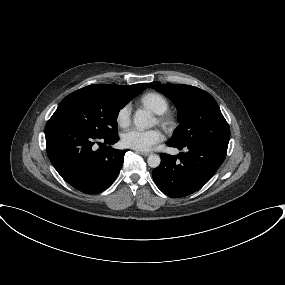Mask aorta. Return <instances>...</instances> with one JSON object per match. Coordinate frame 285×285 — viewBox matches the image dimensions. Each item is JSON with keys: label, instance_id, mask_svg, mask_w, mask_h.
<instances>
[{"label": "aorta", "instance_id": "obj_1", "mask_svg": "<svg viewBox=\"0 0 285 285\" xmlns=\"http://www.w3.org/2000/svg\"><path fill=\"white\" fill-rule=\"evenodd\" d=\"M134 125L141 130L152 128L155 125V120L152 114L146 110H137L134 115ZM160 156L152 154L148 157L147 163L151 168H156L160 165Z\"/></svg>", "mask_w": 285, "mask_h": 285}]
</instances>
